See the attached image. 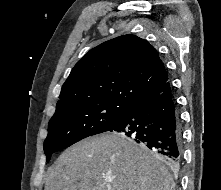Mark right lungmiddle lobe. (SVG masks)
Returning <instances> with one entry per match:
<instances>
[{
  "instance_id": "right-lung-middle-lobe-1",
  "label": "right lung middle lobe",
  "mask_w": 221,
  "mask_h": 190,
  "mask_svg": "<svg viewBox=\"0 0 221 190\" xmlns=\"http://www.w3.org/2000/svg\"><path fill=\"white\" fill-rule=\"evenodd\" d=\"M130 103L104 99L76 103L57 109L48 124L44 143L47 161L53 152L95 134L111 130L123 117Z\"/></svg>"
}]
</instances>
